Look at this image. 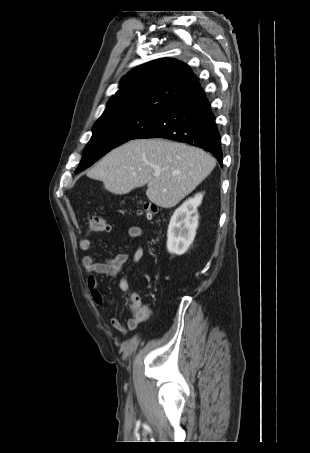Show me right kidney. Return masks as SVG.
I'll return each instance as SVG.
<instances>
[{"label":"right kidney","instance_id":"1","mask_svg":"<svg viewBox=\"0 0 310 453\" xmlns=\"http://www.w3.org/2000/svg\"><path fill=\"white\" fill-rule=\"evenodd\" d=\"M202 193L186 200L171 217L167 231V250L171 254L182 255L192 244L198 227L197 207L201 204Z\"/></svg>","mask_w":310,"mask_h":453}]
</instances>
